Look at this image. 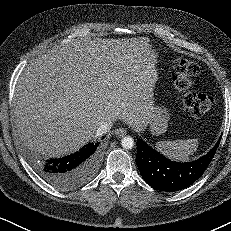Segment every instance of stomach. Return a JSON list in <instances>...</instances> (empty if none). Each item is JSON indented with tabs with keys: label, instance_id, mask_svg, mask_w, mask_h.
<instances>
[{
	"label": "stomach",
	"instance_id": "1",
	"mask_svg": "<svg viewBox=\"0 0 231 231\" xmlns=\"http://www.w3.org/2000/svg\"><path fill=\"white\" fill-rule=\"evenodd\" d=\"M170 114L164 106H154L152 117L148 120L147 126L154 136L163 134L167 127Z\"/></svg>",
	"mask_w": 231,
	"mask_h": 231
}]
</instances>
